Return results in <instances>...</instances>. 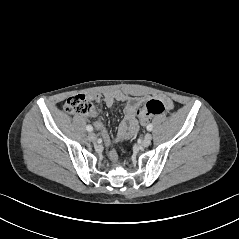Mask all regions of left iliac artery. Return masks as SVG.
Listing matches in <instances>:
<instances>
[{"instance_id":"left-iliac-artery-1","label":"left iliac artery","mask_w":239,"mask_h":239,"mask_svg":"<svg viewBox=\"0 0 239 239\" xmlns=\"http://www.w3.org/2000/svg\"><path fill=\"white\" fill-rule=\"evenodd\" d=\"M153 129V125L152 124H149L148 126H147V130L148 131H151Z\"/></svg>"}]
</instances>
